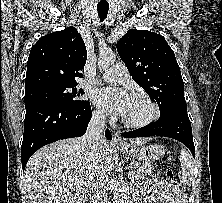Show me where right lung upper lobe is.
Instances as JSON below:
<instances>
[{
  "label": "right lung upper lobe",
  "instance_id": "right-lung-upper-lobe-1",
  "mask_svg": "<svg viewBox=\"0 0 222 203\" xmlns=\"http://www.w3.org/2000/svg\"><path fill=\"white\" fill-rule=\"evenodd\" d=\"M87 60L84 41L70 26L41 37L27 61L25 92L55 86L76 85Z\"/></svg>",
  "mask_w": 222,
  "mask_h": 203
}]
</instances>
